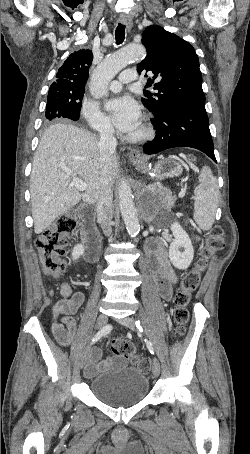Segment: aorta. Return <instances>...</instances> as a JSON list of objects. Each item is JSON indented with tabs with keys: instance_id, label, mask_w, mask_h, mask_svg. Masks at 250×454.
<instances>
[{
	"instance_id": "762f6f07",
	"label": "aorta",
	"mask_w": 250,
	"mask_h": 454,
	"mask_svg": "<svg viewBox=\"0 0 250 454\" xmlns=\"http://www.w3.org/2000/svg\"><path fill=\"white\" fill-rule=\"evenodd\" d=\"M143 45L131 43L106 57L92 72L90 93L100 99L107 94L108 84L130 61L143 57ZM119 205L128 234L135 237L140 231L138 213L133 203L131 187L126 179L119 186Z\"/></svg>"
}]
</instances>
